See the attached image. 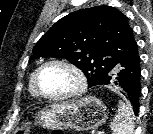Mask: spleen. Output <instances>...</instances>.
I'll return each instance as SVG.
<instances>
[{
  "instance_id": "1",
  "label": "spleen",
  "mask_w": 153,
  "mask_h": 134,
  "mask_svg": "<svg viewBox=\"0 0 153 134\" xmlns=\"http://www.w3.org/2000/svg\"><path fill=\"white\" fill-rule=\"evenodd\" d=\"M113 134H133L134 116L131 106L119 101L118 112L110 126Z\"/></svg>"
}]
</instances>
